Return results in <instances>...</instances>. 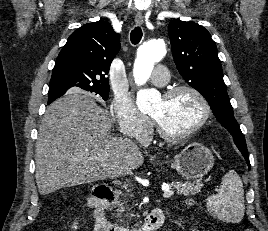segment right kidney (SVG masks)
<instances>
[{
    "instance_id": "1",
    "label": "right kidney",
    "mask_w": 268,
    "mask_h": 231,
    "mask_svg": "<svg viewBox=\"0 0 268 231\" xmlns=\"http://www.w3.org/2000/svg\"><path fill=\"white\" fill-rule=\"evenodd\" d=\"M75 229H77V225L76 224H74V226H73Z\"/></svg>"
}]
</instances>
